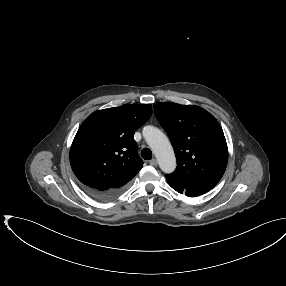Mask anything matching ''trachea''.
<instances>
[{
    "label": "trachea",
    "mask_w": 286,
    "mask_h": 286,
    "mask_svg": "<svg viewBox=\"0 0 286 286\" xmlns=\"http://www.w3.org/2000/svg\"><path fill=\"white\" fill-rule=\"evenodd\" d=\"M141 155H142L143 159H145V160H150L152 158V152L149 148H144L141 151Z\"/></svg>",
    "instance_id": "obj_1"
}]
</instances>
